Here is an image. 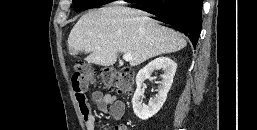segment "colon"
Listing matches in <instances>:
<instances>
[{
    "mask_svg": "<svg viewBox=\"0 0 257 130\" xmlns=\"http://www.w3.org/2000/svg\"><path fill=\"white\" fill-rule=\"evenodd\" d=\"M102 83L108 90L129 95L134 85V73L129 68H105L100 73ZM96 74L87 63H78L72 70V86L78 99H85V91L95 81Z\"/></svg>",
    "mask_w": 257,
    "mask_h": 130,
    "instance_id": "obj_1",
    "label": "colon"
}]
</instances>
